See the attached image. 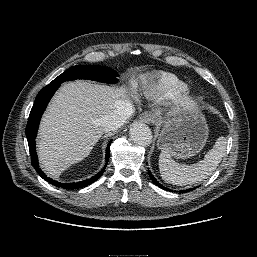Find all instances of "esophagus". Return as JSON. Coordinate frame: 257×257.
I'll return each mask as SVG.
<instances>
[{
    "mask_svg": "<svg viewBox=\"0 0 257 257\" xmlns=\"http://www.w3.org/2000/svg\"><path fill=\"white\" fill-rule=\"evenodd\" d=\"M139 120L144 123H151L154 120V116L149 112H144L140 115Z\"/></svg>",
    "mask_w": 257,
    "mask_h": 257,
    "instance_id": "1",
    "label": "esophagus"
}]
</instances>
